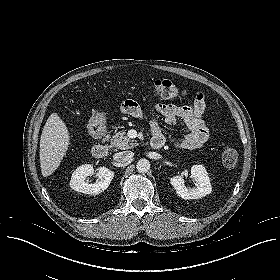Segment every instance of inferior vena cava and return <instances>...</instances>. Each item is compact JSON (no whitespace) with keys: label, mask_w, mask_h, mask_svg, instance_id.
<instances>
[{"label":"inferior vena cava","mask_w":280,"mask_h":280,"mask_svg":"<svg viewBox=\"0 0 280 280\" xmlns=\"http://www.w3.org/2000/svg\"><path fill=\"white\" fill-rule=\"evenodd\" d=\"M134 156L132 151H122L115 154V159L118 162H126L129 161Z\"/></svg>","instance_id":"1"}]
</instances>
